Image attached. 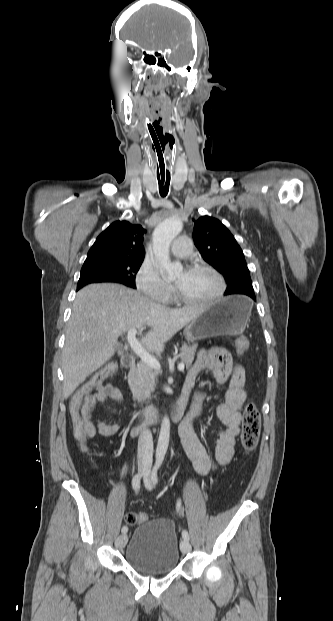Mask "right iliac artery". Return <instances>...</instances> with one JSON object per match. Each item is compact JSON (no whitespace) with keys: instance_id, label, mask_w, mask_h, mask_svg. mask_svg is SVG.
<instances>
[{"instance_id":"1","label":"right iliac artery","mask_w":333,"mask_h":621,"mask_svg":"<svg viewBox=\"0 0 333 621\" xmlns=\"http://www.w3.org/2000/svg\"><path fill=\"white\" fill-rule=\"evenodd\" d=\"M140 474H136L133 479H132V487L135 491H138L140 488ZM128 531V527L127 526H123L122 527V533H127Z\"/></svg>"}]
</instances>
